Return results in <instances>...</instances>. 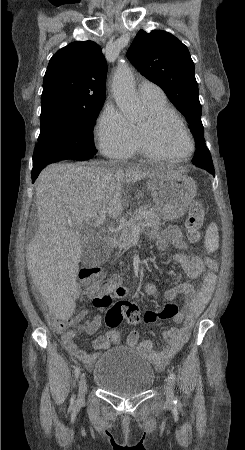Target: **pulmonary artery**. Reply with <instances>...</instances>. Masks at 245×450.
I'll list each match as a JSON object with an SVG mask.
<instances>
[{"label":"pulmonary artery","mask_w":245,"mask_h":450,"mask_svg":"<svg viewBox=\"0 0 245 450\" xmlns=\"http://www.w3.org/2000/svg\"><path fill=\"white\" fill-rule=\"evenodd\" d=\"M140 100L143 103L160 101L165 99L162 89L150 81H142L137 88Z\"/></svg>","instance_id":"e3ab8cb5"}]
</instances>
